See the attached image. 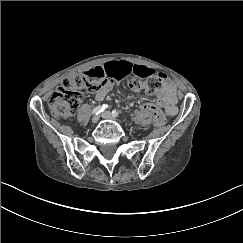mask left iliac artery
I'll list each match as a JSON object with an SVG mask.
<instances>
[{
  "label": "left iliac artery",
  "mask_w": 243,
  "mask_h": 243,
  "mask_svg": "<svg viewBox=\"0 0 243 243\" xmlns=\"http://www.w3.org/2000/svg\"><path fill=\"white\" fill-rule=\"evenodd\" d=\"M119 111H117V110H113V112H112V115L114 116V117H118L119 116Z\"/></svg>",
  "instance_id": "1"
}]
</instances>
